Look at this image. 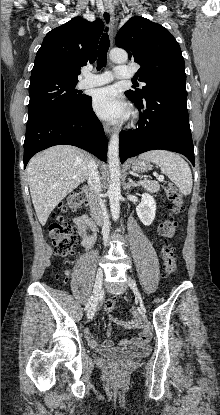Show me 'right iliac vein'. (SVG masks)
<instances>
[{
    "label": "right iliac vein",
    "mask_w": 220,
    "mask_h": 415,
    "mask_svg": "<svg viewBox=\"0 0 220 415\" xmlns=\"http://www.w3.org/2000/svg\"><path fill=\"white\" fill-rule=\"evenodd\" d=\"M102 283H103V270L99 268L96 273V279H95V284H94V289H93L94 301L92 302V305L90 306L88 313H87V317L89 319L94 316V313L96 310L97 299L102 288Z\"/></svg>",
    "instance_id": "1"
}]
</instances>
